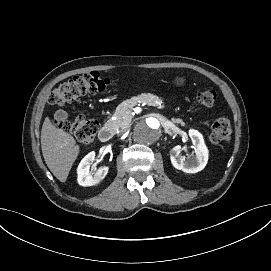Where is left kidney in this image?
Wrapping results in <instances>:
<instances>
[{
    "mask_svg": "<svg viewBox=\"0 0 271 271\" xmlns=\"http://www.w3.org/2000/svg\"><path fill=\"white\" fill-rule=\"evenodd\" d=\"M189 137L195 146V158L185 160L181 155L182 148L180 145L173 147L170 151L172 165L186 173H195L204 167L208 162V149L204 143L202 134L195 130H189Z\"/></svg>",
    "mask_w": 271,
    "mask_h": 271,
    "instance_id": "obj_1",
    "label": "left kidney"
}]
</instances>
